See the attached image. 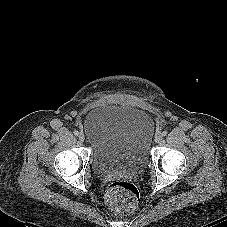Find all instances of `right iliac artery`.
Segmentation results:
<instances>
[{
  "instance_id": "82829eb1",
  "label": "right iliac artery",
  "mask_w": 227,
  "mask_h": 227,
  "mask_svg": "<svg viewBox=\"0 0 227 227\" xmlns=\"http://www.w3.org/2000/svg\"><path fill=\"white\" fill-rule=\"evenodd\" d=\"M78 134H79V132L75 130V131H74V135L77 136Z\"/></svg>"
}]
</instances>
